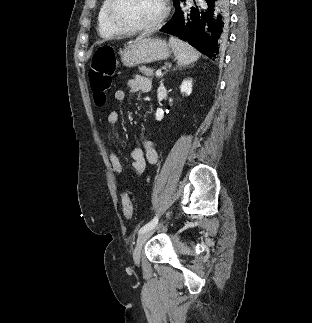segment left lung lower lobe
<instances>
[{
	"mask_svg": "<svg viewBox=\"0 0 312 323\" xmlns=\"http://www.w3.org/2000/svg\"><path fill=\"white\" fill-rule=\"evenodd\" d=\"M181 0L173 17L161 31L176 36L209 58H219L228 41L229 3L205 0L204 8H187Z\"/></svg>",
	"mask_w": 312,
	"mask_h": 323,
	"instance_id": "left-lung-lower-lobe-1",
	"label": "left lung lower lobe"
}]
</instances>
